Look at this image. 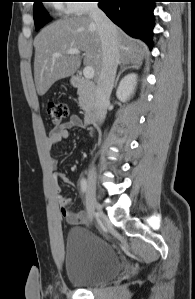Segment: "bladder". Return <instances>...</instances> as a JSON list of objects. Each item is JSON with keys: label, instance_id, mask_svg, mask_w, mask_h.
<instances>
[{"label": "bladder", "instance_id": "1", "mask_svg": "<svg viewBox=\"0 0 195 299\" xmlns=\"http://www.w3.org/2000/svg\"><path fill=\"white\" fill-rule=\"evenodd\" d=\"M66 275L69 282L85 288L117 277L122 262L113 247L83 228H71L65 239Z\"/></svg>", "mask_w": 195, "mask_h": 299}]
</instances>
